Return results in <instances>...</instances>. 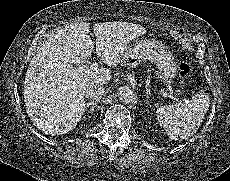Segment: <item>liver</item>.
Returning <instances> with one entry per match:
<instances>
[{"label":"liver","mask_w":230,"mask_h":181,"mask_svg":"<svg viewBox=\"0 0 230 181\" xmlns=\"http://www.w3.org/2000/svg\"><path fill=\"white\" fill-rule=\"evenodd\" d=\"M124 25L105 22L93 27L100 62L116 66L126 44L146 32L139 25ZM89 30V23L80 22L50 35L28 67L25 106L33 123L46 134H64L75 128L85 112L86 89L108 84L112 78L108 68L90 69L88 58L94 43ZM83 66L89 72L82 71Z\"/></svg>","instance_id":"6515ba94"}]
</instances>
